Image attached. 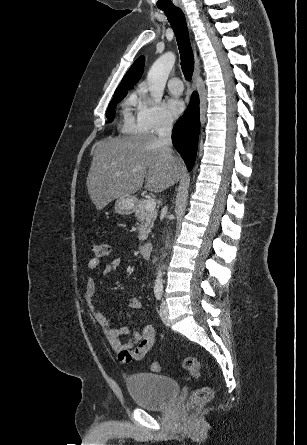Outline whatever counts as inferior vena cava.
I'll return each mask as SVG.
<instances>
[{
	"label": "inferior vena cava",
	"mask_w": 307,
	"mask_h": 445,
	"mask_svg": "<svg viewBox=\"0 0 307 445\" xmlns=\"http://www.w3.org/2000/svg\"><path fill=\"white\" fill-rule=\"evenodd\" d=\"M158 132V142L171 146L172 120L168 116H163L161 124L156 128Z\"/></svg>",
	"instance_id": "602c4592"
}]
</instances>
